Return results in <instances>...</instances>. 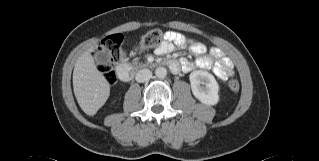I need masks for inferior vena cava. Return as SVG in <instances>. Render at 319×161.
Returning a JSON list of instances; mask_svg holds the SVG:
<instances>
[{
  "mask_svg": "<svg viewBox=\"0 0 319 161\" xmlns=\"http://www.w3.org/2000/svg\"><path fill=\"white\" fill-rule=\"evenodd\" d=\"M152 77V72L149 69H141L137 72L135 80L139 83L148 81Z\"/></svg>",
  "mask_w": 319,
  "mask_h": 161,
  "instance_id": "obj_1",
  "label": "inferior vena cava"
}]
</instances>
